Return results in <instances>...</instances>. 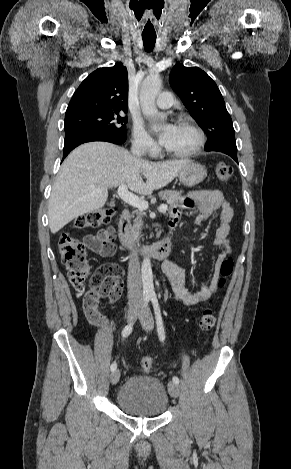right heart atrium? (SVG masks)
<instances>
[{
  "label": "right heart atrium",
  "mask_w": 291,
  "mask_h": 469,
  "mask_svg": "<svg viewBox=\"0 0 291 469\" xmlns=\"http://www.w3.org/2000/svg\"><path fill=\"white\" fill-rule=\"evenodd\" d=\"M133 147L143 153H151L156 149V143L144 126L136 122L132 128Z\"/></svg>",
  "instance_id": "right-heart-atrium-1"
}]
</instances>
